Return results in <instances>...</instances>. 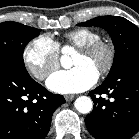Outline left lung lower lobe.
I'll list each match as a JSON object with an SVG mask.
<instances>
[{"label": "left lung lower lobe", "mask_w": 139, "mask_h": 139, "mask_svg": "<svg viewBox=\"0 0 139 139\" xmlns=\"http://www.w3.org/2000/svg\"><path fill=\"white\" fill-rule=\"evenodd\" d=\"M89 95L94 102L85 118L90 134L96 139L131 138L139 130V58L126 63Z\"/></svg>", "instance_id": "left-lung-lower-lobe-1"}]
</instances>
